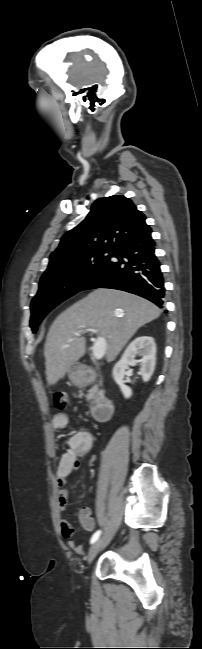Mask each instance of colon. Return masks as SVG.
I'll return each instance as SVG.
<instances>
[{
    "label": "colon",
    "mask_w": 202,
    "mask_h": 649,
    "mask_svg": "<svg viewBox=\"0 0 202 649\" xmlns=\"http://www.w3.org/2000/svg\"><path fill=\"white\" fill-rule=\"evenodd\" d=\"M54 404L58 408H66L68 404V395L65 391H58L53 396Z\"/></svg>",
    "instance_id": "colon-1"
}]
</instances>
